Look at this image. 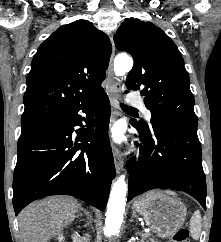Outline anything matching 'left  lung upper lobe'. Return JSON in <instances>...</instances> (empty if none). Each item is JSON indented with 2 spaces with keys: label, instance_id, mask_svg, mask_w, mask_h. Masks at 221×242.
<instances>
[{
  "label": "left lung upper lobe",
  "instance_id": "5c2ea615",
  "mask_svg": "<svg viewBox=\"0 0 221 242\" xmlns=\"http://www.w3.org/2000/svg\"><path fill=\"white\" fill-rule=\"evenodd\" d=\"M114 41L118 51H126L134 59L125 85L128 90L143 88L141 94L151 112L150 124L197 129L190 80L175 43L153 23L137 19H126ZM137 124L149 130L146 122Z\"/></svg>",
  "mask_w": 221,
  "mask_h": 242
}]
</instances>
